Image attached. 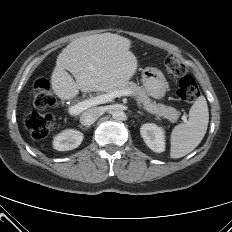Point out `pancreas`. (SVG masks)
Listing matches in <instances>:
<instances>
[{
	"instance_id": "pancreas-1",
	"label": "pancreas",
	"mask_w": 232,
	"mask_h": 232,
	"mask_svg": "<svg viewBox=\"0 0 232 232\" xmlns=\"http://www.w3.org/2000/svg\"><path fill=\"white\" fill-rule=\"evenodd\" d=\"M119 90L131 91L135 96H137L139 103H141L143 106V109L151 114L156 115L158 119L162 117L174 123L180 116L179 111H177L175 108L152 101L146 93L145 89L141 86H138L134 82L127 81L118 87L110 89L108 92Z\"/></svg>"
}]
</instances>
